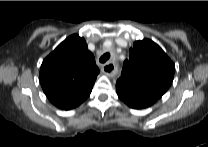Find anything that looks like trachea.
<instances>
[{"label":"trachea","instance_id":"obj_1","mask_svg":"<svg viewBox=\"0 0 208 147\" xmlns=\"http://www.w3.org/2000/svg\"><path fill=\"white\" fill-rule=\"evenodd\" d=\"M109 58H110V54L107 52V53L103 54V55L100 57L99 61H100L101 63H105V62H107V61L109 60Z\"/></svg>","mask_w":208,"mask_h":147}]
</instances>
